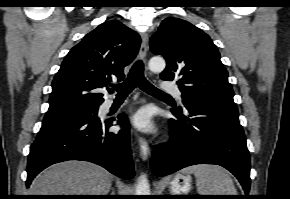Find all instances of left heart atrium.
Instances as JSON below:
<instances>
[{
  "label": "left heart atrium",
  "mask_w": 290,
  "mask_h": 199,
  "mask_svg": "<svg viewBox=\"0 0 290 199\" xmlns=\"http://www.w3.org/2000/svg\"><path fill=\"white\" fill-rule=\"evenodd\" d=\"M131 124L138 130L151 132L154 130V123L151 112L148 108L138 110L131 118Z\"/></svg>",
  "instance_id": "left-heart-atrium-1"
}]
</instances>
